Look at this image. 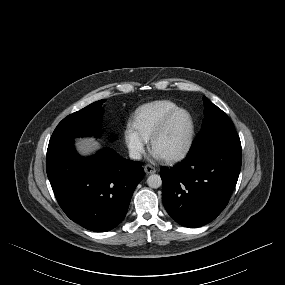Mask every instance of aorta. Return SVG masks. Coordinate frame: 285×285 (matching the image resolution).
Segmentation results:
<instances>
[{
    "instance_id": "obj_1",
    "label": "aorta",
    "mask_w": 285,
    "mask_h": 285,
    "mask_svg": "<svg viewBox=\"0 0 285 285\" xmlns=\"http://www.w3.org/2000/svg\"><path fill=\"white\" fill-rule=\"evenodd\" d=\"M147 184L149 187L157 189L162 185V179L157 174H152L147 178Z\"/></svg>"
}]
</instances>
